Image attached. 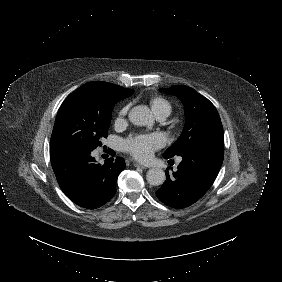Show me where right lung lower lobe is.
Returning <instances> with one entry per match:
<instances>
[{"label": "right lung lower lobe", "mask_w": 282, "mask_h": 282, "mask_svg": "<svg viewBox=\"0 0 282 282\" xmlns=\"http://www.w3.org/2000/svg\"><path fill=\"white\" fill-rule=\"evenodd\" d=\"M93 150L75 149L51 156V164L64 194L77 205L94 209L104 205L116 193L118 175L125 161L116 157L97 164Z\"/></svg>", "instance_id": "right-lung-lower-lobe-1"}]
</instances>
